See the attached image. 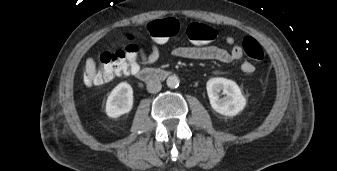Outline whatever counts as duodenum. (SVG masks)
<instances>
[{
  "label": "duodenum",
  "instance_id": "1",
  "mask_svg": "<svg viewBox=\"0 0 337 171\" xmlns=\"http://www.w3.org/2000/svg\"><path fill=\"white\" fill-rule=\"evenodd\" d=\"M169 75V72L164 69H143L137 72L136 76L141 81L164 80Z\"/></svg>",
  "mask_w": 337,
  "mask_h": 171
}]
</instances>
